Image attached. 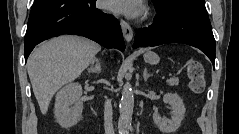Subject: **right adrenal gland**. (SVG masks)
I'll list each match as a JSON object with an SVG mask.
<instances>
[{
  "mask_svg": "<svg viewBox=\"0 0 239 134\" xmlns=\"http://www.w3.org/2000/svg\"><path fill=\"white\" fill-rule=\"evenodd\" d=\"M87 70L89 73L92 72L95 74H100L101 73V62L97 58H94V60L91 63L90 68H88Z\"/></svg>",
  "mask_w": 239,
  "mask_h": 134,
  "instance_id": "obj_1",
  "label": "right adrenal gland"
}]
</instances>
